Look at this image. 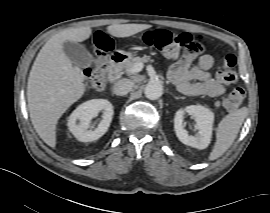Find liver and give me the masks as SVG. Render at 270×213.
<instances>
[{"label":"liver","mask_w":270,"mask_h":213,"mask_svg":"<svg viewBox=\"0 0 270 213\" xmlns=\"http://www.w3.org/2000/svg\"><path fill=\"white\" fill-rule=\"evenodd\" d=\"M151 28L148 24H114L107 32L124 38ZM92 33L90 27L65 29L53 35L38 53L28 78L27 100L31 122L40 138L56 146L60 117L85 92L84 74L63 51L66 41L79 43Z\"/></svg>","instance_id":"obj_1"}]
</instances>
